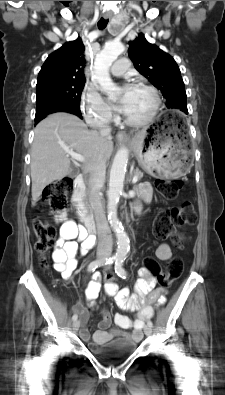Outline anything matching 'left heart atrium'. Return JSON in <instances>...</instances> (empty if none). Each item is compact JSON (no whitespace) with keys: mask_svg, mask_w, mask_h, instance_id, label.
Listing matches in <instances>:
<instances>
[{"mask_svg":"<svg viewBox=\"0 0 225 395\" xmlns=\"http://www.w3.org/2000/svg\"><path fill=\"white\" fill-rule=\"evenodd\" d=\"M134 92H135V88L132 86H126L124 88L123 94L120 97L118 104L116 106V108L118 109V111L126 114L130 104L133 100L134 97Z\"/></svg>","mask_w":225,"mask_h":395,"instance_id":"obj_1","label":"left heart atrium"}]
</instances>
